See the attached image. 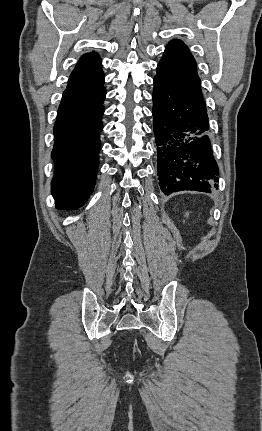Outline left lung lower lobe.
Segmentation results:
<instances>
[{
	"label": "left lung lower lobe",
	"mask_w": 262,
	"mask_h": 431,
	"mask_svg": "<svg viewBox=\"0 0 262 431\" xmlns=\"http://www.w3.org/2000/svg\"><path fill=\"white\" fill-rule=\"evenodd\" d=\"M153 119L161 190L169 195L218 188L219 170L208 136L206 108L154 78Z\"/></svg>",
	"instance_id": "left-lung-lower-lobe-1"
}]
</instances>
